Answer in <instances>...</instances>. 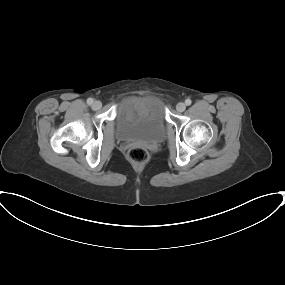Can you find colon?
<instances>
[{
    "mask_svg": "<svg viewBox=\"0 0 285 285\" xmlns=\"http://www.w3.org/2000/svg\"><path fill=\"white\" fill-rule=\"evenodd\" d=\"M128 158L135 164H143L148 160V152L143 147H132L128 151Z\"/></svg>",
    "mask_w": 285,
    "mask_h": 285,
    "instance_id": "obj_1",
    "label": "colon"
}]
</instances>
